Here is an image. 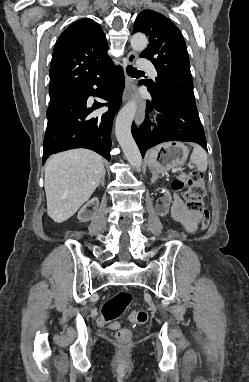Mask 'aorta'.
<instances>
[{
    "label": "aorta",
    "instance_id": "aorta-1",
    "mask_svg": "<svg viewBox=\"0 0 249 382\" xmlns=\"http://www.w3.org/2000/svg\"><path fill=\"white\" fill-rule=\"evenodd\" d=\"M130 43L135 51L141 52L147 47L148 40L144 34L136 33L131 37ZM136 110L135 101H130L120 110L115 122V135L130 165L140 170L142 156L131 134Z\"/></svg>",
    "mask_w": 249,
    "mask_h": 382
}]
</instances>
